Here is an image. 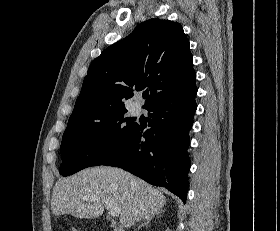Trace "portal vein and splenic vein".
<instances>
[{
    "label": "portal vein and splenic vein",
    "instance_id": "portal-vein-and-splenic-vein-1",
    "mask_svg": "<svg viewBox=\"0 0 280 231\" xmlns=\"http://www.w3.org/2000/svg\"><path fill=\"white\" fill-rule=\"evenodd\" d=\"M119 213H120L119 207H110L109 215H112V217H117Z\"/></svg>",
    "mask_w": 280,
    "mask_h": 231
}]
</instances>
